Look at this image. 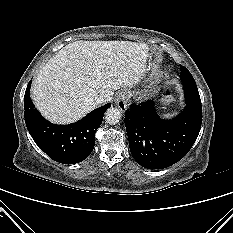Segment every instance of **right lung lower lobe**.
<instances>
[{
    "instance_id": "right-lung-lower-lobe-1",
    "label": "right lung lower lobe",
    "mask_w": 233,
    "mask_h": 233,
    "mask_svg": "<svg viewBox=\"0 0 233 233\" xmlns=\"http://www.w3.org/2000/svg\"><path fill=\"white\" fill-rule=\"evenodd\" d=\"M30 88L31 81L24 96V118L38 147L59 163L75 164L86 159L94 148L96 130L111 103L95 109L73 124L57 125L43 118L35 108L30 98Z\"/></svg>"
}]
</instances>
